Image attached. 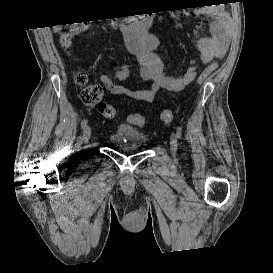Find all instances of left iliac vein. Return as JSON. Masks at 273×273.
<instances>
[{
  "label": "left iliac vein",
  "instance_id": "obj_1",
  "mask_svg": "<svg viewBox=\"0 0 273 273\" xmlns=\"http://www.w3.org/2000/svg\"><path fill=\"white\" fill-rule=\"evenodd\" d=\"M170 151L171 154L174 158V160H176V156H177V138L175 134H172L170 137Z\"/></svg>",
  "mask_w": 273,
  "mask_h": 273
}]
</instances>
